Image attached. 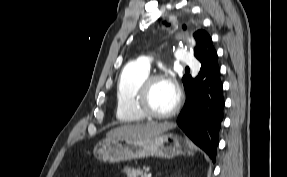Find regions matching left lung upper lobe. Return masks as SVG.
I'll return each mask as SVG.
<instances>
[{"instance_id":"obj_1","label":"left lung upper lobe","mask_w":287,"mask_h":177,"mask_svg":"<svg viewBox=\"0 0 287 177\" xmlns=\"http://www.w3.org/2000/svg\"><path fill=\"white\" fill-rule=\"evenodd\" d=\"M183 28L185 29L186 26L183 25ZM194 37L197 40V44H198L194 52V55L197 57V56L202 55L203 52H205L208 43L211 42L212 40L209 34L204 30L196 31L194 34Z\"/></svg>"}]
</instances>
